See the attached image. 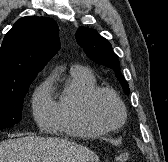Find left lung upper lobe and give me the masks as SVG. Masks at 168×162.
I'll list each match as a JSON object with an SVG mask.
<instances>
[{
    "label": "left lung upper lobe",
    "instance_id": "left-lung-upper-lobe-1",
    "mask_svg": "<svg viewBox=\"0 0 168 162\" xmlns=\"http://www.w3.org/2000/svg\"><path fill=\"white\" fill-rule=\"evenodd\" d=\"M75 37L78 45L83 48L91 60L115 72V76L124 92L128 95L129 85L120 72L118 56L113 52L109 41L100 36L95 30L86 27H80Z\"/></svg>",
    "mask_w": 168,
    "mask_h": 162
}]
</instances>
